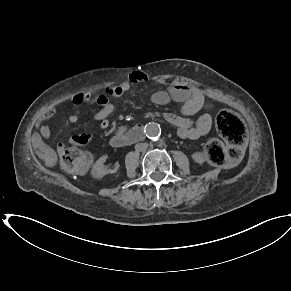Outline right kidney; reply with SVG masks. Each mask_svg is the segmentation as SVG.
Instances as JSON below:
<instances>
[{"instance_id":"ca27d5eb","label":"right kidney","mask_w":291,"mask_h":291,"mask_svg":"<svg viewBox=\"0 0 291 291\" xmlns=\"http://www.w3.org/2000/svg\"><path fill=\"white\" fill-rule=\"evenodd\" d=\"M106 157H100L96 163L94 164L93 168H92V175L95 178H102L103 176H105L108 173H114L116 172V170H108L106 168H104L103 163L105 162Z\"/></svg>"}]
</instances>
